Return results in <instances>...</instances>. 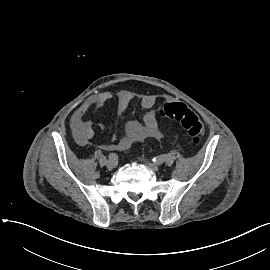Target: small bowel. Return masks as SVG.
<instances>
[{"label": "small bowel", "instance_id": "small-bowel-1", "mask_svg": "<svg viewBox=\"0 0 270 270\" xmlns=\"http://www.w3.org/2000/svg\"><path fill=\"white\" fill-rule=\"evenodd\" d=\"M113 99V94L109 91H102L89 97L73 114L71 118V128L76 140L82 144H87L94 137L93 124L86 119L90 111H98L104 108ZM156 95H146L141 99L140 106L142 110L141 121L130 119L125 123V131L122 138L116 144L101 143V148L124 150L132 144L147 139L160 140L163 138V132L160 128L156 114L152 110L158 101ZM131 102V95L127 91H121L117 96V113L123 115Z\"/></svg>", "mask_w": 270, "mask_h": 270}]
</instances>
